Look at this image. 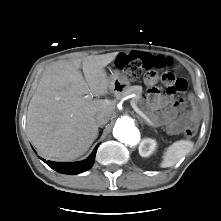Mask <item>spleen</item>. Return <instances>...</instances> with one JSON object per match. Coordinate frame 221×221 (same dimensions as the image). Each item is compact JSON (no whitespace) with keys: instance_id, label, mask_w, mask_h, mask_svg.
Instances as JSON below:
<instances>
[{"instance_id":"obj_1","label":"spleen","mask_w":221,"mask_h":221,"mask_svg":"<svg viewBox=\"0 0 221 221\" xmlns=\"http://www.w3.org/2000/svg\"><path fill=\"white\" fill-rule=\"evenodd\" d=\"M193 146L194 143L189 140H179L174 142L166 148L160 166L162 168L174 166L191 151Z\"/></svg>"}]
</instances>
